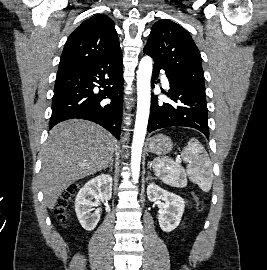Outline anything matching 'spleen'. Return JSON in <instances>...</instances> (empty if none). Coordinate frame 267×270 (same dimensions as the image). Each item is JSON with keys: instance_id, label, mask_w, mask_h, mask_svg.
I'll list each match as a JSON object with an SVG mask.
<instances>
[{"instance_id": "1", "label": "spleen", "mask_w": 267, "mask_h": 270, "mask_svg": "<svg viewBox=\"0 0 267 270\" xmlns=\"http://www.w3.org/2000/svg\"><path fill=\"white\" fill-rule=\"evenodd\" d=\"M182 159L188 163L185 171L178 161L170 158H158L154 161L155 174L162 181L175 187L187 184L186 176L196 183L204 192L212 186V162L203 145L195 138H191L181 153Z\"/></svg>"}]
</instances>
